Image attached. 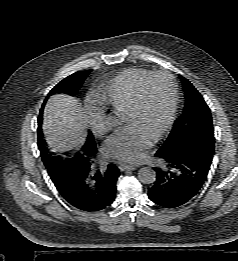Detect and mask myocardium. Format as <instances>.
<instances>
[{"mask_svg": "<svg viewBox=\"0 0 238 261\" xmlns=\"http://www.w3.org/2000/svg\"><path fill=\"white\" fill-rule=\"evenodd\" d=\"M160 76L166 77L170 82L171 104H170L169 113L167 115V118H166L163 126L154 135V138H153L154 141H158L160 138H162L167 133V131L171 128V126L174 122L175 116H176L178 101H179V90H178V84H177L175 76L172 73L165 71V70L151 72L138 85L133 102L127 110V113H135L141 109L146 86L152 79H154L156 77H160Z\"/></svg>", "mask_w": 238, "mask_h": 261, "instance_id": "1", "label": "myocardium"}]
</instances>
